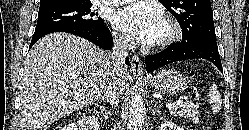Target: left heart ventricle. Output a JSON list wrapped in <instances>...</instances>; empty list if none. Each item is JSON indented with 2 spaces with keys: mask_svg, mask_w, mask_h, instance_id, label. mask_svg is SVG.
Listing matches in <instances>:
<instances>
[{
  "mask_svg": "<svg viewBox=\"0 0 249 130\" xmlns=\"http://www.w3.org/2000/svg\"><path fill=\"white\" fill-rule=\"evenodd\" d=\"M164 34H165V27H164V29H163V32H162L161 37H162Z\"/></svg>",
  "mask_w": 249,
  "mask_h": 130,
  "instance_id": "left-heart-ventricle-1",
  "label": "left heart ventricle"
}]
</instances>
